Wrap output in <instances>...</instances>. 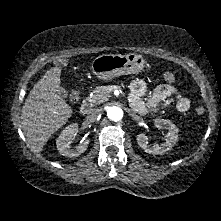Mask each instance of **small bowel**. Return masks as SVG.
Here are the masks:
<instances>
[{
	"label": "small bowel",
	"instance_id": "obj_1",
	"mask_svg": "<svg viewBox=\"0 0 221 221\" xmlns=\"http://www.w3.org/2000/svg\"><path fill=\"white\" fill-rule=\"evenodd\" d=\"M147 92V84L143 80H135L130 85L129 102L138 113L156 112L160 108L169 106L175 101V107L179 112H186L190 108V100L170 84L160 85L153 94L144 100Z\"/></svg>",
	"mask_w": 221,
	"mask_h": 221
}]
</instances>
